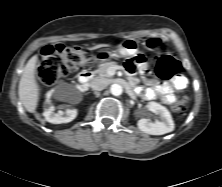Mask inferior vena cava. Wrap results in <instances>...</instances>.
Wrapping results in <instances>:
<instances>
[{"mask_svg":"<svg viewBox=\"0 0 222 187\" xmlns=\"http://www.w3.org/2000/svg\"><path fill=\"white\" fill-rule=\"evenodd\" d=\"M90 86L95 91H101L106 88L107 81L104 78L96 77L90 82Z\"/></svg>","mask_w":222,"mask_h":187,"instance_id":"602c4592","label":"inferior vena cava"}]
</instances>
